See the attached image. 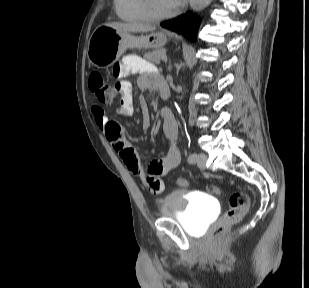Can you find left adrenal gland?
<instances>
[{
	"label": "left adrenal gland",
	"mask_w": 309,
	"mask_h": 288,
	"mask_svg": "<svg viewBox=\"0 0 309 288\" xmlns=\"http://www.w3.org/2000/svg\"><path fill=\"white\" fill-rule=\"evenodd\" d=\"M168 70H171V65H170V63H169V66H168Z\"/></svg>",
	"instance_id": "a2214340"
}]
</instances>
